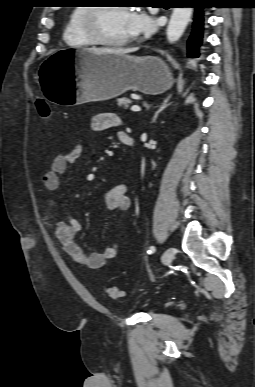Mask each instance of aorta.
Masks as SVG:
<instances>
[{
    "label": "aorta",
    "mask_w": 255,
    "mask_h": 387,
    "mask_svg": "<svg viewBox=\"0 0 255 387\" xmlns=\"http://www.w3.org/2000/svg\"><path fill=\"white\" fill-rule=\"evenodd\" d=\"M192 7H175L167 27L169 43L177 42L183 35L192 15Z\"/></svg>",
    "instance_id": "762f6f07"
}]
</instances>
